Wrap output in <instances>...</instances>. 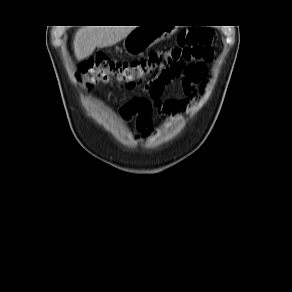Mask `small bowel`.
Returning a JSON list of instances; mask_svg holds the SVG:
<instances>
[{
	"label": "small bowel",
	"instance_id": "1",
	"mask_svg": "<svg viewBox=\"0 0 292 292\" xmlns=\"http://www.w3.org/2000/svg\"><path fill=\"white\" fill-rule=\"evenodd\" d=\"M213 57V51L210 49L208 56L192 64L190 70L185 74L182 81L184 99L163 100L162 95L165 85L159 90L155 96V107L159 113L166 116H176L185 111L197 99L196 86H203L205 84L208 75L207 62L213 61ZM138 128L142 134H146L151 131V124L148 126H141L139 124Z\"/></svg>",
	"mask_w": 292,
	"mask_h": 292
}]
</instances>
